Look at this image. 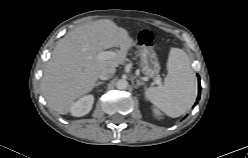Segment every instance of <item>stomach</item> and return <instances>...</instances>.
I'll list each match as a JSON object with an SVG mask.
<instances>
[{"instance_id": "1", "label": "stomach", "mask_w": 248, "mask_h": 158, "mask_svg": "<svg viewBox=\"0 0 248 158\" xmlns=\"http://www.w3.org/2000/svg\"><path fill=\"white\" fill-rule=\"evenodd\" d=\"M141 68L142 72L150 77H156L160 72V64L155 51L150 48L143 46L140 51Z\"/></svg>"}]
</instances>
